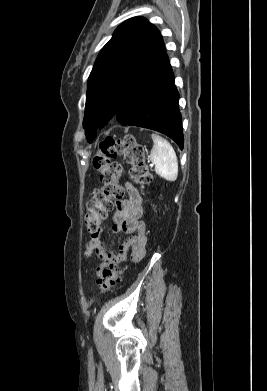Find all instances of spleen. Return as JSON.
<instances>
[{
	"label": "spleen",
	"mask_w": 267,
	"mask_h": 391,
	"mask_svg": "<svg viewBox=\"0 0 267 391\" xmlns=\"http://www.w3.org/2000/svg\"><path fill=\"white\" fill-rule=\"evenodd\" d=\"M153 148L150 159L155 164V172L167 181L173 182L178 176V161L171 144L159 135L152 134Z\"/></svg>",
	"instance_id": "3e777b00"
}]
</instances>
